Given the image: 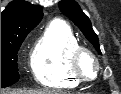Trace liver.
<instances>
[{"label": "liver", "instance_id": "1", "mask_svg": "<svg viewBox=\"0 0 121 94\" xmlns=\"http://www.w3.org/2000/svg\"><path fill=\"white\" fill-rule=\"evenodd\" d=\"M1 94H64L54 90H1Z\"/></svg>", "mask_w": 121, "mask_h": 94}]
</instances>
